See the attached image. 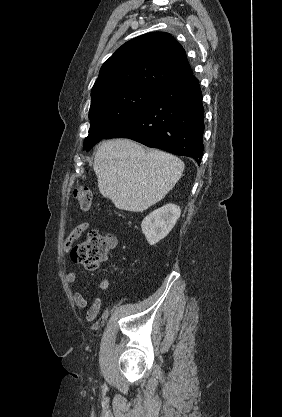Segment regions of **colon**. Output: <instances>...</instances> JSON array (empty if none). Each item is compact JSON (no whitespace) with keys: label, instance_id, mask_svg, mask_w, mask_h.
Returning a JSON list of instances; mask_svg holds the SVG:
<instances>
[{"label":"colon","instance_id":"1","mask_svg":"<svg viewBox=\"0 0 282 417\" xmlns=\"http://www.w3.org/2000/svg\"><path fill=\"white\" fill-rule=\"evenodd\" d=\"M78 204L83 208H91L93 196L87 187H79L74 193ZM107 245L100 236L92 233L87 240L77 244L71 252L74 263L84 265L90 269L97 270L105 266L107 262Z\"/></svg>","mask_w":282,"mask_h":417}]
</instances>
